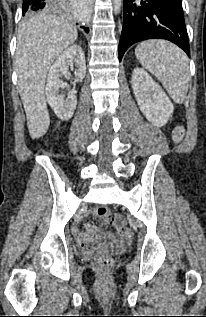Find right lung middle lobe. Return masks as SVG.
Wrapping results in <instances>:
<instances>
[{
	"label": "right lung middle lobe",
	"mask_w": 206,
	"mask_h": 317,
	"mask_svg": "<svg viewBox=\"0 0 206 317\" xmlns=\"http://www.w3.org/2000/svg\"><path fill=\"white\" fill-rule=\"evenodd\" d=\"M61 1V2H59ZM66 0H57L56 1V4H61V3H65ZM42 13H45L44 11H41V12H29V11H26V6L24 5L23 3V16H25L26 18H32L38 14H42Z\"/></svg>",
	"instance_id": "1"
}]
</instances>
